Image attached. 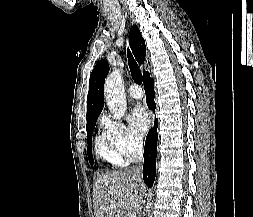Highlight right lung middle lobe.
<instances>
[{
  "label": "right lung middle lobe",
  "instance_id": "dd1d6c3e",
  "mask_svg": "<svg viewBox=\"0 0 253 217\" xmlns=\"http://www.w3.org/2000/svg\"><path fill=\"white\" fill-rule=\"evenodd\" d=\"M96 120L97 119H94V120H91V121L87 122V128H86L87 136H88L87 153H88L89 162H90L91 165L94 163V160H93L92 155H91V142H92V133H93L94 128H95Z\"/></svg>",
  "mask_w": 253,
  "mask_h": 217
}]
</instances>
